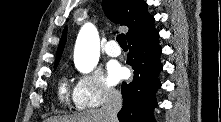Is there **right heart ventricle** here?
Wrapping results in <instances>:
<instances>
[{
	"mask_svg": "<svg viewBox=\"0 0 221 122\" xmlns=\"http://www.w3.org/2000/svg\"><path fill=\"white\" fill-rule=\"evenodd\" d=\"M58 96L61 102L66 103L68 101V93L65 80H62L59 84Z\"/></svg>",
	"mask_w": 221,
	"mask_h": 122,
	"instance_id": "e07e8e85",
	"label": "right heart ventricle"
}]
</instances>
